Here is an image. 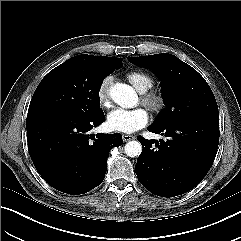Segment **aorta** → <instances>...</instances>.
Wrapping results in <instances>:
<instances>
[{
	"label": "aorta",
	"mask_w": 241,
	"mask_h": 241,
	"mask_svg": "<svg viewBox=\"0 0 241 241\" xmlns=\"http://www.w3.org/2000/svg\"><path fill=\"white\" fill-rule=\"evenodd\" d=\"M111 99L123 108H131L134 106L137 94L134 89L123 83H116L110 88ZM125 153L129 157H137L142 152V145L138 141H129L125 145Z\"/></svg>",
	"instance_id": "aorta-1"
}]
</instances>
